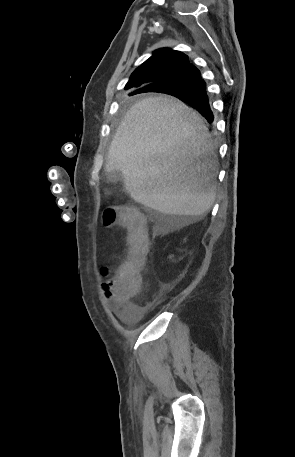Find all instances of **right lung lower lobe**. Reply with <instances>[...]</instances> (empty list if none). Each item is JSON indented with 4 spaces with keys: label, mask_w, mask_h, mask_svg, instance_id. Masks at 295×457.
Instances as JSON below:
<instances>
[{
    "label": "right lung lower lobe",
    "mask_w": 295,
    "mask_h": 457,
    "mask_svg": "<svg viewBox=\"0 0 295 457\" xmlns=\"http://www.w3.org/2000/svg\"><path fill=\"white\" fill-rule=\"evenodd\" d=\"M174 90L173 96L190 104L198 110L208 122H213L214 116L210 109L204 80L199 70L192 64L185 66L178 76L172 80L161 82L139 89L132 94L143 92H158L163 90Z\"/></svg>",
    "instance_id": "1"
}]
</instances>
